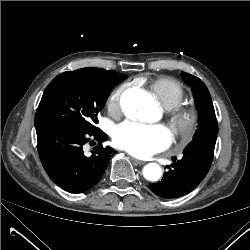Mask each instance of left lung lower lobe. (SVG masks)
I'll return each instance as SVG.
<instances>
[{
    "label": "left lung lower lobe",
    "instance_id": "0a47b994",
    "mask_svg": "<svg viewBox=\"0 0 250 250\" xmlns=\"http://www.w3.org/2000/svg\"><path fill=\"white\" fill-rule=\"evenodd\" d=\"M216 139V134L194 139L183 151L182 159L174 162L172 168L167 166L169 170L162 180L149 184L152 192L163 198H175L194 189L210 169Z\"/></svg>",
    "mask_w": 250,
    "mask_h": 250
}]
</instances>
